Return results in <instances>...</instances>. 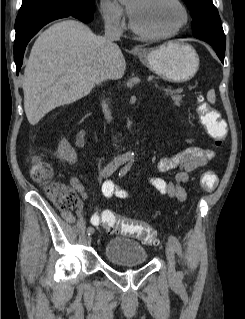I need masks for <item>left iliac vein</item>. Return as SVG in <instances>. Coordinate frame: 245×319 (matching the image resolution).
Here are the masks:
<instances>
[{
	"label": "left iliac vein",
	"mask_w": 245,
	"mask_h": 319,
	"mask_svg": "<svg viewBox=\"0 0 245 319\" xmlns=\"http://www.w3.org/2000/svg\"><path fill=\"white\" fill-rule=\"evenodd\" d=\"M165 253L168 261V277L171 282H176L178 277L175 270V254L173 248L168 244L165 247Z\"/></svg>",
	"instance_id": "4c4485c4"
}]
</instances>
